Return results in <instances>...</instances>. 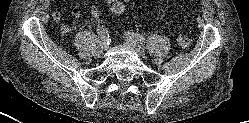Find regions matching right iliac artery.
Here are the masks:
<instances>
[{
	"label": "right iliac artery",
	"instance_id": "82829eb1",
	"mask_svg": "<svg viewBox=\"0 0 249 123\" xmlns=\"http://www.w3.org/2000/svg\"><path fill=\"white\" fill-rule=\"evenodd\" d=\"M97 31L101 40L108 43L110 37L108 30L104 26H99Z\"/></svg>",
	"mask_w": 249,
	"mask_h": 123
}]
</instances>
